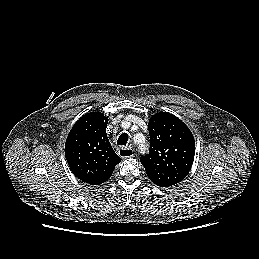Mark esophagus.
<instances>
[{
	"label": "esophagus",
	"mask_w": 259,
	"mask_h": 259,
	"mask_svg": "<svg viewBox=\"0 0 259 259\" xmlns=\"http://www.w3.org/2000/svg\"><path fill=\"white\" fill-rule=\"evenodd\" d=\"M118 154L124 159L131 158L134 156V150L131 147H121L118 150Z\"/></svg>",
	"instance_id": "esophagus-1"
}]
</instances>
